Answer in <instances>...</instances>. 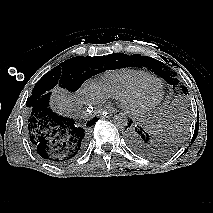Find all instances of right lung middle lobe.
Segmentation results:
<instances>
[{
    "label": "right lung middle lobe",
    "mask_w": 213,
    "mask_h": 213,
    "mask_svg": "<svg viewBox=\"0 0 213 213\" xmlns=\"http://www.w3.org/2000/svg\"><path fill=\"white\" fill-rule=\"evenodd\" d=\"M123 55V53H115L95 57L78 56L64 61L37 82L32 95L27 99V107L31 108L40 97L56 85L75 92L86 79L105 70L115 69V67H110V64Z\"/></svg>",
    "instance_id": "1"
}]
</instances>
